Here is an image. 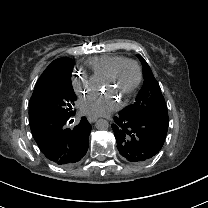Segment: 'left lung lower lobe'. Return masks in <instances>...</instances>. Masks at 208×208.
Here are the masks:
<instances>
[{
    "instance_id": "left-lung-lower-lobe-1",
    "label": "left lung lower lobe",
    "mask_w": 208,
    "mask_h": 208,
    "mask_svg": "<svg viewBox=\"0 0 208 208\" xmlns=\"http://www.w3.org/2000/svg\"><path fill=\"white\" fill-rule=\"evenodd\" d=\"M112 127L120 154L133 163L153 158L161 150L168 130L155 119L123 111L114 117Z\"/></svg>"
}]
</instances>
